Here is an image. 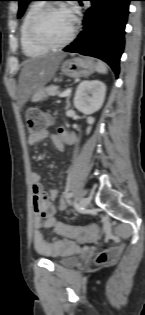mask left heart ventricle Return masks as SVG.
Instances as JSON below:
<instances>
[{"label": "left heart ventricle", "instance_id": "left-heart-ventricle-1", "mask_svg": "<svg viewBox=\"0 0 145 315\" xmlns=\"http://www.w3.org/2000/svg\"><path fill=\"white\" fill-rule=\"evenodd\" d=\"M74 23L73 16L65 9L48 12L38 25V33L46 41L57 43L70 33Z\"/></svg>", "mask_w": 145, "mask_h": 315}]
</instances>
